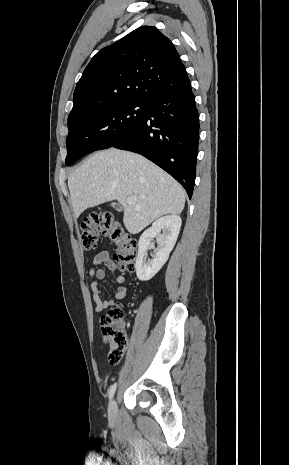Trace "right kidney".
<instances>
[{
  "instance_id": "obj_1",
  "label": "right kidney",
  "mask_w": 289,
  "mask_h": 465,
  "mask_svg": "<svg viewBox=\"0 0 289 465\" xmlns=\"http://www.w3.org/2000/svg\"><path fill=\"white\" fill-rule=\"evenodd\" d=\"M181 218L178 215L163 216L145 230L139 239L136 258V274L139 280L148 281L153 278L168 260L181 228ZM161 231L163 232L161 234ZM158 237V247L153 259L145 260L147 250L152 248L153 238Z\"/></svg>"
}]
</instances>
